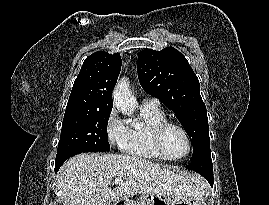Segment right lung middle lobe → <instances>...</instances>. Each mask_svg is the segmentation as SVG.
Returning a JSON list of instances; mask_svg holds the SVG:
<instances>
[{
  "instance_id": "1",
  "label": "right lung middle lobe",
  "mask_w": 269,
  "mask_h": 205,
  "mask_svg": "<svg viewBox=\"0 0 269 205\" xmlns=\"http://www.w3.org/2000/svg\"><path fill=\"white\" fill-rule=\"evenodd\" d=\"M111 110L66 107L57 151L66 148L110 150L107 124Z\"/></svg>"
}]
</instances>
